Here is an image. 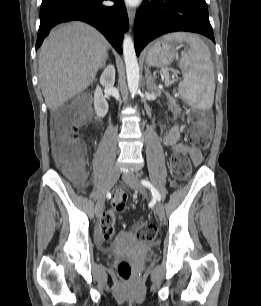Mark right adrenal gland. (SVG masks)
Masks as SVG:
<instances>
[{
	"label": "right adrenal gland",
	"instance_id": "obj_1",
	"mask_svg": "<svg viewBox=\"0 0 261 306\" xmlns=\"http://www.w3.org/2000/svg\"><path fill=\"white\" fill-rule=\"evenodd\" d=\"M105 66H106V63H104V64L102 65L103 68H104ZM102 67H101V68H102Z\"/></svg>",
	"mask_w": 261,
	"mask_h": 306
}]
</instances>
